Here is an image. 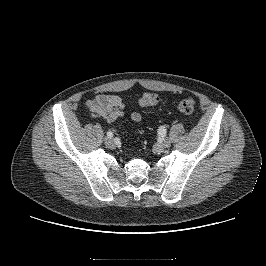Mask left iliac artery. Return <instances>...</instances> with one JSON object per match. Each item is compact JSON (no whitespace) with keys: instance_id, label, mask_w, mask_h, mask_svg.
<instances>
[{"instance_id":"obj_1","label":"left iliac artery","mask_w":266,"mask_h":266,"mask_svg":"<svg viewBox=\"0 0 266 266\" xmlns=\"http://www.w3.org/2000/svg\"><path fill=\"white\" fill-rule=\"evenodd\" d=\"M159 138L161 139L162 137H164L165 135H166V129H165V127L164 126H161L160 128H159Z\"/></svg>"}]
</instances>
